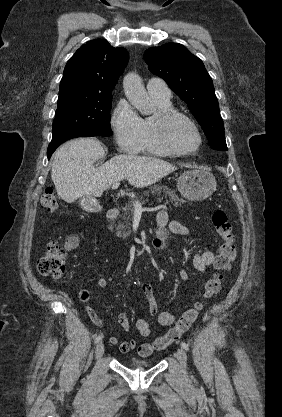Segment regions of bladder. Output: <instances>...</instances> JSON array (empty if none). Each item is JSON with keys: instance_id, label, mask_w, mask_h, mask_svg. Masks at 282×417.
<instances>
[{"instance_id": "bladder-1", "label": "bladder", "mask_w": 282, "mask_h": 417, "mask_svg": "<svg viewBox=\"0 0 282 417\" xmlns=\"http://www.w3.org/2000/svg\"><path fill=\"white\" fill-rule=\"evenodd\" d=\"M129 364L135 368H143L149 366V362L140 358L132 357L129 359Z\"/></svg>"}]
</instances>
